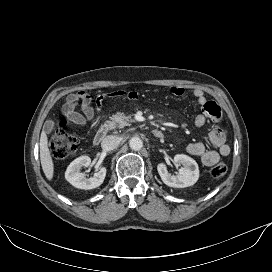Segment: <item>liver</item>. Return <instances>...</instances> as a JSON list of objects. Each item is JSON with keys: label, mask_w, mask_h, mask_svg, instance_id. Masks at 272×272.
<instances>
[{"label": "liver", "mask_w": 272, "mask_h": 272, "mask_svg": "<svg viewBox=\"0 0 272 272\" xmlns=\"http://www.w3.org/2000/svg\"><path fill=\"white\" fill-rule=\"evenodd\" d=\"M40 160L43 172L48 180H52L54 174V164L48 148V138L44 131L40 137Z\"/></svg>", "instance_id": "obj_1"}]
</instances>
